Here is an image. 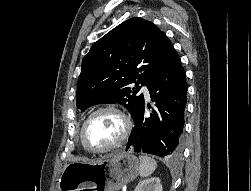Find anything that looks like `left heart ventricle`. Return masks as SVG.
I'll list each match as a JSON object with an SVG mask.
<instances>
[{"label": "left heart ventricle", "instance_id": "b2bd125f", "mask_svg": "<svg viewBox=\"0 0 251 191\" xmlns=\"http://www.w3.org/2000/svg\"><path fill=\"white\" fill-rule=\"evenodd\" d=\"M122 123L110 111L94 115L87 123L83 138L85 145L93 151H101L114 144L121 135Z\"/></svg>", "mask_w": 251, "mask_h": 191}]
</instances>
